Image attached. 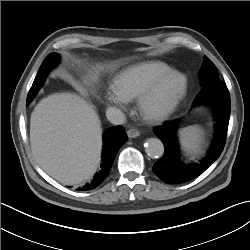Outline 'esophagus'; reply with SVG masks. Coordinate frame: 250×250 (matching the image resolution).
<instances>
[{
  "label": "esophagus",
  "instance_id": "1",
  "mask_svg": "<svg viewBox=\"0 0 250 250\" xmlns=\"http://www.w3.org/2000/svg\"><path fill=\"white\" fill-rule=\"evenodd\" d=\"M127 135L129 138H136L140 135V132L137 129L132 128L127 131Z\"/></svg>",
  "mask_w": 250,
  "mask_h": 250
}]
</instances>
